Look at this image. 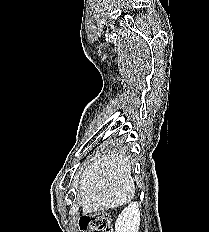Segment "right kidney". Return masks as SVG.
<instances>
[{"mask_svg": "<svg viewBox=\"0 0 209 232\" xmlns=\"http://www.w3.org/2000/svg\"><path fill=\"white\" fill-rule=\"evenodd\" d=\"M140 226L139 203H130L118 216L115 232H138Z\"/></svg>", "mask_w": 209, "mask_h": 232, "instance_id": "ca27d5eb", "label": "right kidney"}]
</instances>
